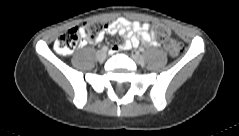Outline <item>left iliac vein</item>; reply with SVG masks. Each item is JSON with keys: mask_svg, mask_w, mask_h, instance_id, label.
I'll list each match as a JSON object with an SVG mask.
<instances>
[{"mask_svg": "<svg viewBox=\"0 0 239 136\" xmlns=\"http://www.w3.org/2000/svg\"><path fill=\"white\" fill-rule=\"evenodd\" d=\"M131 58L133 59V61L137 64H143L144 63V57L139 54V53H133L131 54Z\"/></svg>", "mask_w": 239, "mask_h": 136, "instance_id": "left-iliac-vein-1", "label": "left iliac vein"}]
</instances>
